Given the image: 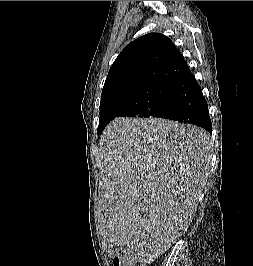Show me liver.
I'll return each mask as SVG.
<instances>
[{
    "label": "liver",
    "mask_w": 253,
    "mask_h": 266,
    "mask_svg": "<svg viewBox=\"0 0 253 266\" xmlns=\"http://www.w3.org/2000/svg\"><path fill=\"white\" fill-rule=\"evenodd\" d=\"M100 232L137 259L156 258L185 233L210 162L206 131L161 118H116L101 135Z\"/></svg>",
    "instance_id": "liver-1"
}]
</instances>
